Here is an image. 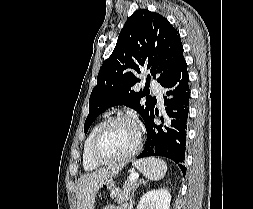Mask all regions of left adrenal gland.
I'll return each mask as SVG.
<instances>
[{
    "mask_svg": "<svg viewBox=\"0 0 253 209\" xmlns=\"http://www.w3.org/2000/svg\"><path fill=\"white\" fill-rule=\"evenodd\" d=\"M140 184H146V181H144V180H139V182H138L136 188H138ZM136 188H135V190H136ZM133 196H134V193H133V195H132V197H131V199H130L129 209H133V204H134Z\"/></svg>",
    "mask_w": 253,
    "mask_h": 209,
    "instance_id": "obj_1",
    "label": "left adrenal gland"
}]
</instances>
